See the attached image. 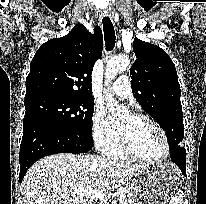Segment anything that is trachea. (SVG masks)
Here are the masks:
<instances>
[{
	"instance_id": "trachea-1",
	"label": "trachea",
	"mask_w": 206,
	"mask_h": 204,
	"mask_svg": "<svg viewBox=\"0 0 206 204\" xmlns=\"http://www.w3.org/2000/svg\"><path fill=\"white\" fill-rule=\"evenodd\" d=\"M102 22H103V31H104L106 50L111 51L115 46V40H116L114 27L109 17H104Z\"/></svg>"
}]
</instances>
